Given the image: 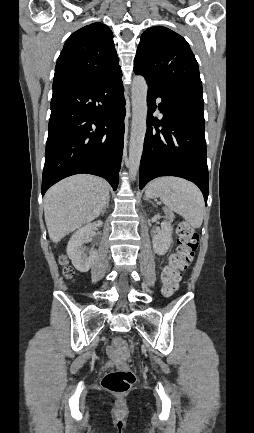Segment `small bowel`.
<instances>
[{
    "mask_svg": "<svg viewBox=\"0 0 254 433\" xmlns=\"http://www.w3.org/2000/svg\"><path fill=\"white\" fill-rule=\"evenodd\" d=\"M163 291H164V293H165V291H166V286L163 287ZM165 295H166V294H165ZM167 296H168V295H167Z\"/></svg>",
    "mask_w": 254,
    "mask_h": 433,
    "instance_id": "1",
    "label": "small bowel"
}]
</instances>
